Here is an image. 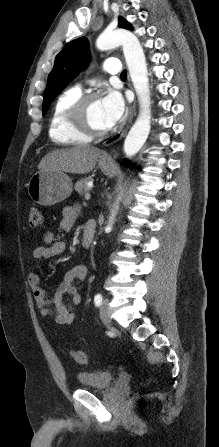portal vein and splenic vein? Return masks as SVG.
I'll return each mask as SVG.
<instances>
[{
	"label": "portal vein and splenic vein",
	"instance_id": "obj_1",
	"mask_svg": "<svg viewBox=\"0 0 219 447\" xmlns=\"http://www.w3.org/2000/svg\"><path fill=\"white\" fill-rule=\"evenodd\" d=\"M88 185L91 187V186H92V182H89ZM85 199H86V200H89V199H90V194H89V193H86V194H85Z\"/></svg>",
	"mask_w": 219,
	"mask_h": 447
}]
</instances>
